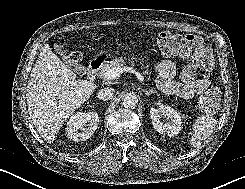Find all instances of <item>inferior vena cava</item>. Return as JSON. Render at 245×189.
<instances>
[{"mask_svg":"<svg viewBox=\"0 0 245 189\" xmlns=\"http://www.w3.org/2000/svg\"><path fill=\"white\" fill-rule=\"evenodd\" d=\"M114 92L115 90L113 88H104L101 89L97 95L99 99L103 101H107L114 97Z\"/></svg>","mask_w":245,"mask_h":189,"instance_id":"1","label":"inferior vena cava"}]
</instances>
